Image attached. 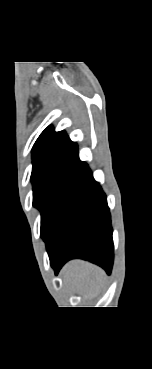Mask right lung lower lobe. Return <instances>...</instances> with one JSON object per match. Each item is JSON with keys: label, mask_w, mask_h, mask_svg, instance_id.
Returning <instances> with one entry per match:
<instances>
[{"label": "right lung lower lobe", "mask_w": 152, "mask_h": 369, "mask_svg": "<svg viewBox=\"0 0 152 369\" xmlns=\"http://www.w3.org/2000/svg\"><path fill=\"white\" fill-rule=\"evenodd\" d=\"M112 233L106 195L83 163L60 200L44 239L55 273L68 260L81 258L110 274L114 258Z\"/></svg>", "instance_id": "98d812e1"}]
</instances>
